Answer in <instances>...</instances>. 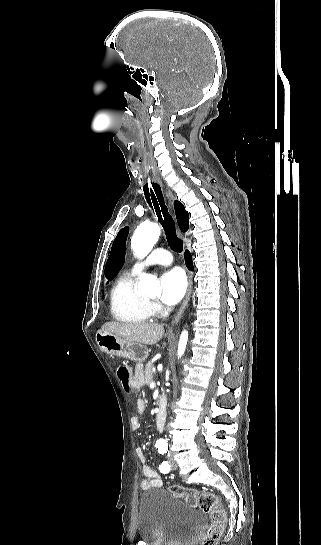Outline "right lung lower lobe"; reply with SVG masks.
<instances>
[{
    "label": "right lung lower lobe",
    "instance_id": "1",
    "mask_svg": "<svg viewBox=\"0 0 321 545\" xmlns=\"http://www.w3.org/2000/svg\"><path fill=\"white\" fill-rule=\"evenodd\" d=\"M185 263L188 269L193 270L192 256L189 251H185Z\"/></svg>",
    "mask_w": 321,
    "mask_h": 545
}]
</instances>
